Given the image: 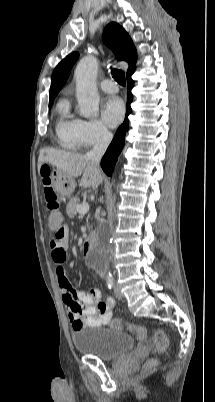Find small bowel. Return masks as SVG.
I'll list each match as a JSON object with an SVG mask.
<instances>
[{
  "label": "small bowel",
  "instance_id": "small-bowel-1",
  "mask_svg": "<svg viewBox=\"0 0 215 402\" xmlns=\"http://www.w3.org/2000/svg\"><path fill=\"white\" fill-rule=\"evenodd\" d=\"M69 234L66 227H61L55 239L50 241L51 257L56 264V276L61 290L62 300L67 307V315L74 330L84 327H100L111 320L114 300L101 298L98 289L87 292L76 290L65 274L63 264L67 259Z\"/></svg>",
  "mask_w": 215,
  "mask_h": 402
}]
</instances>
